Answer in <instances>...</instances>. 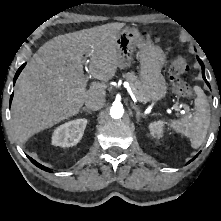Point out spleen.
I'll list each match as a JSON object with an SVG mask.
<instances>
[{
  "label": "spleen",
  "mask_w": 221,
  "mask_h": 221,
  "mask_svg": "<svg viewBox=\"0 0 221 221\" xmlns=\"http://www.w3.org/2000/svg\"><path fill=\"white\" fill-rule=\"evenodd\" d=\"M196 98L194 99L195 115L191 118L183 117L177 120H171L168 123L169 128L176 133H180L190 138L192 148L200 147L207 135L210 125V108L207 97L203 90L196 86L194 87Z\"/></svg>",
  "instance_id": "1"
}]
</instances>
